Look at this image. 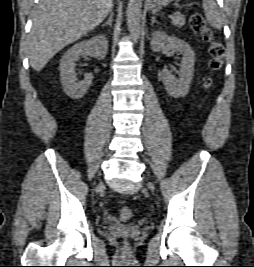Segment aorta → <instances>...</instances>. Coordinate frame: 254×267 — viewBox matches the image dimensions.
Here are the masks:
<instances>
[{
  "label": "aorta",
  "instance_id": "obj_1",
  "mask_svg": "<svg viewBox=\"0 0 254 267\" xmlns=\"http://www.w3.org/2000/svg\"><path fill=\"white\" fill-rule=\"evenodd\" d=\"M142 2L143 0H129L126 11L128 30L135 41L141 34Z\"/></svg>",
  "mask_w": 254,
  "mask_h": 267
}]
</instances>
